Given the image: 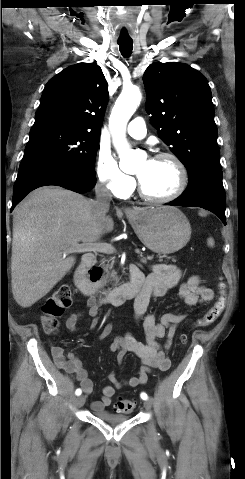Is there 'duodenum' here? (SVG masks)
<instances>
[{"label": "duodenum", "mask_w": 245, "mask_h": 479, "mask_svg": "<svg viewBox=\"0 0 245 479\" xmlns=\"http://www.w3.org/2000/svg\"><path fill=\"white\" fill-rule=\"evenodd\" d=\"M100 280L101 271L96 257L91 253L85 254L74 278L75 286L84 296L95 297L102 304L120 305L126 300L137 298L144 287L143 278L137 268L130 270L128 282L105 292L99 290Z\"/></svg>", "instance_id": "1"}]
</instances>
